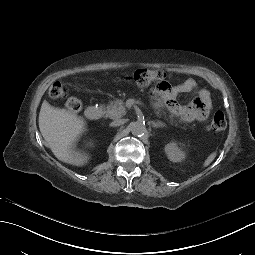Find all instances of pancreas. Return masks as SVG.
Listing matches in <instances>:
<instances>
[{"label": "pancreas", "instance_id": "obj_1", "mask_svg": "<svg viewBox=\"0 0 255 255\" xmlns=\"http://www.w3.org/2000/svg\"><path fill=\"white\" fill-rule=\"evenodd\" d=\"M126 114V109L124 107L122 100L111 101L107 106L106 116L111 119L121 118Z\"/></svg>", "mask_w": 255, "mask_h": 255}]
</instances>
